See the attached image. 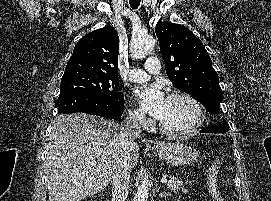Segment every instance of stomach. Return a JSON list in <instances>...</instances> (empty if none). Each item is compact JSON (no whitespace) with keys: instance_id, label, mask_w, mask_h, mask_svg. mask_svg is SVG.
<instances>
[{"instance_id":"1","label":"stomach","mask_w":271,"mask_h":201,"mask_svg":"<svg viewBox=\"0 0 271 201\" xmlns=\"http://www.w3.org/2000/svg\"><path fill=\"white\" fill-rule=\"evenodd\" d=\"M154 149L163 161L172 166L188 165L199 157V153L194 147L179 142H163L155 145Z\"/></svg>"}]
</instances>
